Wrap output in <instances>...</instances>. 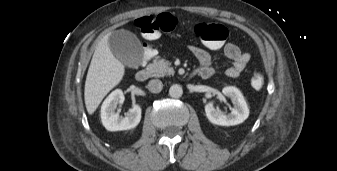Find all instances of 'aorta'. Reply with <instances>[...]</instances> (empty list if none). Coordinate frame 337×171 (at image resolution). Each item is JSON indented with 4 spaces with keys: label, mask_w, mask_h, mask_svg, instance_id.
Listing matches in <instances>:
<instances>
[{
    "label": "aorta",
    "mask_w": 337,
    "mask_h": 171,
    "mask_svg": "<svg viewBox=\"0 0 337 171\" xmlns=\"http://www.w3.org/2000/svg\"><path fill=\"white\" fill-rule=\"evenodd\" d=\"M183 94V89L178 84H173L169 89V95L172 98H180Z\"/></svg>",
    "instance_id": "1"
}]
</instances>
